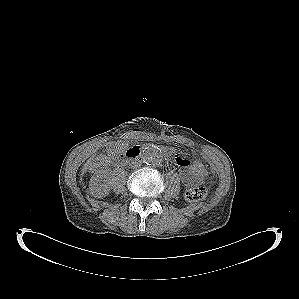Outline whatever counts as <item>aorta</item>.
<instances>
[{
    "label": "aorta",
    "mask_w": 299,
    "mask_h": 299,
    "mask_svg": "<svg viewBox=\"0 0 299 299\" xmlns=\"http://www.w3.org/2000/svg\"><path fill=\"white\" fill-rule=\"evenodd\" d=\"M142 159L147 165L157 166L163 159L162 150L156 145H147L143 148Z\"/></svg>",
    "instance_id": "aorta-1"
}]
</instances>
